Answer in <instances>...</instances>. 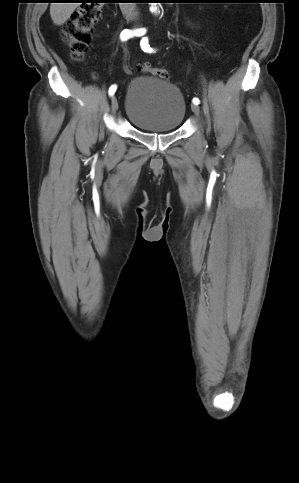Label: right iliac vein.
<instances>
[{"label": "right iliac vein", "instance_id": "63e3f726", "mask_svg": "<svg viewBox=\"0 0 299 483\" xmlns=\"http://www.w3.org/2000/svg\"><path fill=\"white\" fill-rule=\"evenodd\" d=\"M111 106H112V111L116 112V110L118 109V100H117V97L115 95L112 96Z\"/></svg>", "mask_w": 299, "mask_h": 483}]
</instances>
